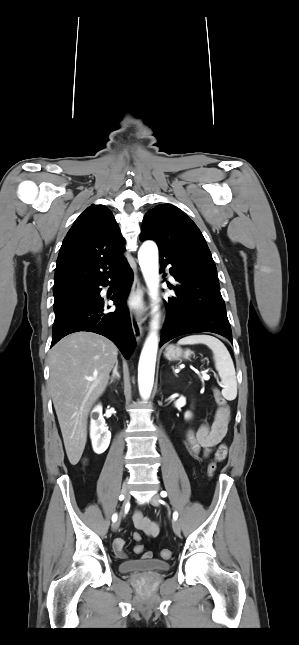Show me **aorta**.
<instances>
[{
	"instance_id": "obj_1",
	"label": "aorta",
	"mask_w": 299,
	"mask_h": 645,
	"mask_svg": "<svg viewBox=\"0 0 299 645\" xmlns=\"http://www.w3.org/2000/svg\"><path fill=\"white\" fill-rule=\"evenodd\" d=\"M138 260L145 282L150 290V296L153 302L156 303L158 301L159 285L157 245L152 241L144 242L139 249ZM156 310L157 306H154L153 311L155 312ZM157 319L158 315H155L152 322V331L145 341L138 366L139 391L144 399H148L150 397L154 383L155 363L158 349Z\"/></svg>"
}]
</instances>
